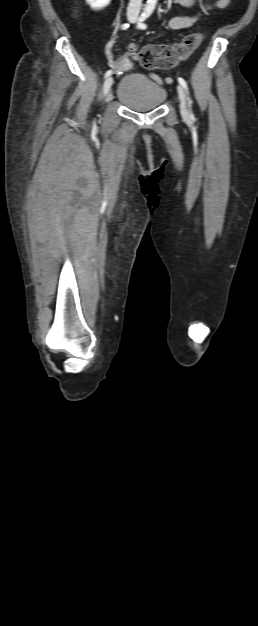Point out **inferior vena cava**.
<instances>
[{
    "mask_svg": "<svg viewBox=\"0 0 258 626\" xmlns=\"http://www.w3.org/2000/svg\"><path fill=\"white\" fill-rule=\"evenodd\" d=\"M142 0H130L127 15L137 17L141 9Z\"/></svg>",
    "mask_w": 258,
    "mask_h": 626,
    "instance_id": "obj_1",
    "label": "inferior vena cava"
}]
</instances>
